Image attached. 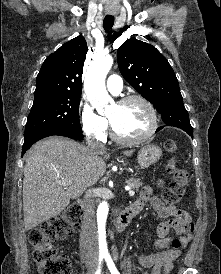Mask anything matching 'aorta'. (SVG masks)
<instances>
[{"label": "aorta", "mask_w": 221, "mask_h": 274, "mask_svg": "<svg viewBox=\"0 0 221 274\" xmlns=\"http://www.w3.org/2000/svg\"><path fill=\"white\" fill-rule=\"evenodd\" d=\"M113 65L110 56L95 59L87 71L84 81V89L90 103L99 111H103L104 105L111 102L105 87V78ZM109 207L106 201H102L97 210L99 251L101 254L108 253L106 242V220Z\"/></svg>", "instance_id": "762f6f07"}]
</instances>
